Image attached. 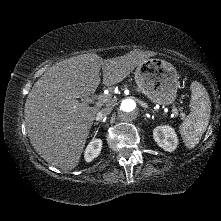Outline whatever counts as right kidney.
Masks as SVG:
<instances>
[{
	"instance_id": "ca27d5eb",
	"label": "right kidney",
	"mask_w": 221,
	"mask_h": 221,
	"mask_svg": "<svg viewBox=\"0 0 221 221\" xmlns=\"http://www.w3.org/2000/svg\"><path fill=\"white\" fill-rule=\"evenodd\" d=\"M102 149V140L94 139L92 140L88 146L86 147L84 158L86 162H91L94 158H96Z\"/></svg>"
}]
</instances>
